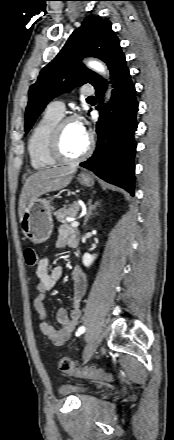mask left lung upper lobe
I'll return each mask as SVG.
<instances>
[{
	"mask_svg": "<svg viewBox=\"0 0 174 440\" xmlns=\"http://www.w3.org/2000/svg\"><path fill=\"white\" fill-rule=\"evenodd\" d=\"M120 41L108 19L86 18L81 27L69 37L59 54L45 66L29 89V103L25 112V131L28 132L45 106L56 96L69 92L75 86L101 78L87 69L80 60L85 56L98 57L109 64L119 52Z\"/></svg>",
	"mask_w": 174,
	"mask_h": 440,
	"instance_id": "obj_1",
	"label": "left lung upper lobe"
}]
</instances>
